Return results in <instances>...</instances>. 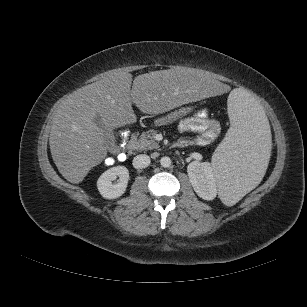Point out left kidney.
<instances>
[{
  "mask_svg": "<svg viewBox=\"0 0 307 307\" xmlns=\"http://www.w3.org/2000/svg\"><path fill=\"white\" fill-rule=\"evenodd\" d=\"M187 173L196 194L204 200H213L217 195V183L213 168L208 162L193 161Z\"/></svg>",
  "mask_w": 307,
  "mask_h": 307,
  "instance_id": "5707ae66",
  "label": "left kidney"
}]
</instances>
